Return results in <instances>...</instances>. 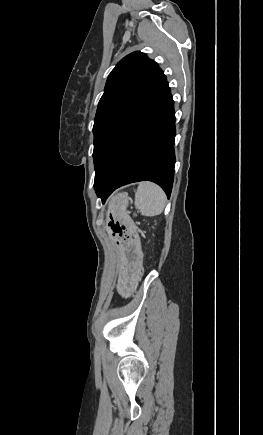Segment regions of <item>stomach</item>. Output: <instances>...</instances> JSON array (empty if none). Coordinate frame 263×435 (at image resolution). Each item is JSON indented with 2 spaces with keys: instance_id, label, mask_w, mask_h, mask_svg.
<instances>
[{
  "instance_id": "0dacf381",
  "label": "stomach",
  "mask_w": 263,
  "mask_h": 435,
  "mask_svg": "<svg viewBox=\"0 0 263 435\" xmlns=\"http://www.w3.org/2000/svg\"><path fill=\"white\" fill-rule=\"evenodd\" d=\"M127 193H118L111 200L109 206L110 216H104L106 232L111 233L115 247H119L125 262L129 268H118L116 274L121 279L118 281L120 288H140L141 281L136 279L139 276L140 262L143 260L142 239L138 232V225L135 224V216H129V203ZM124 299L131 297L129 290L122 292Z\"/></svg>"
}]
</instances>
